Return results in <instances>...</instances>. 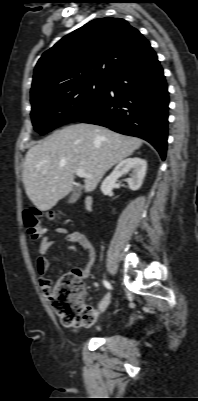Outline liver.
Returning a JSON list of instances; mask_svg holds the SVG:
<instances>
[{
    "label": "liver",
    "instance_id": "1",
    "mask_svg": "<svg viewBox=\"0 0 198 401\" xmlns=\"http://www.w3.org/2000/svg\"><path fill=\"white\" fill-rule=\"evenodd\" d=\"M143 141L92 124H74L53 133L26 153L22 173L26 194L47 211L73 189L74 170L82 169L85 192L93 191L104 174L139 149Z\"/></svg>",
    "mask_w": 198,
    "mask_h": 401
}]
</instances>
